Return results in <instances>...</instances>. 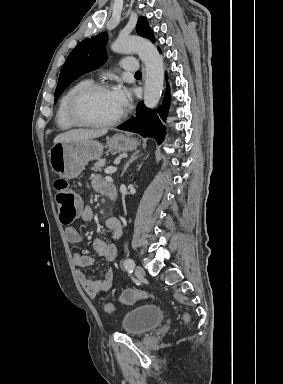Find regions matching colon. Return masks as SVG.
Here are the masks:
<instances>
[{
	"instance_id": "colon-1",
	"label": "colon",
	"mask_w": 283,
	"mask_h": 384,
	"mask_svg": "<svg viewBox=\"0 0 283 384\" xmlns=\"http://www.w3.org/2000/svg\"><path fill=\"white\" fill-rule=\"evenodd\" d=\"M56 202L59 207V217L62 223L70 224L79 215V201L75 192L70 188L65 180L59 179L55 182ZM152 294L143 290H125L119 296V301L123 304H132L137 300L150 299ZM104 311L112 313L114 305L110 302L104 304ZM185 323H189L190 317L187 314L183 315Z\"/></svg>"
}]
</instances>
